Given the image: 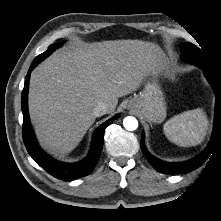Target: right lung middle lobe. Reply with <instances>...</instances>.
Wrapping results in <instances>:
<instances>
[{
    "label": "right lung middle lobe",
    "mask_w": 221,
    "mask_h": 221,
    "mask_svg": "<svg viewBox=\"0 0 221 221\" xmlns=\"http://www.w3.org/2000/svg\"><path fill=\"white\" fill-rule=\"evenodd\" d=\"M61 44H62V43L50 45L47 51H45L44 53L40 54V55L37 56V57H38V58H41V59L43 60L44 58H46L47 56H49V55L52 53V51H53L55 48H57L58 46H60ZM37 57H36V58H37Z\"/></svg>",
    "instance_id": "obj_1"
}]
</instances>
